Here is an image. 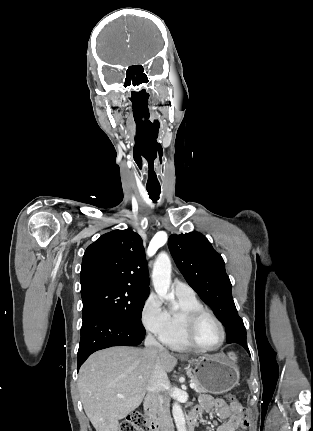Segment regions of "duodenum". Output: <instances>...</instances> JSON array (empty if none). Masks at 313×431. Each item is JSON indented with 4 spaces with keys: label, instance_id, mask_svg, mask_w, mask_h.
<instances>
[{
    "label": "duodenum",
    "instance_id": "obj_1",
    "mask_svg": "<svg viewBox=\"0 0 313 431\" xmlns=\"http://www.w3.org/2000/svg\"><path fill=\"white\" fill-rule=\"evenodd\" d=\"M145 410L149 417L150 431H168L164 424L163 417L158 411V401L154 394L147 396L145 401ZM197 423V417L191 413L187 420L188 431H193Z\"/></svg>",
    "mask_w": 313,
    "mask_h": 431
}]
</instances>
